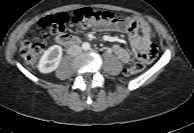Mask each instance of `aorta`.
<instances>
[{
	"label": "aorta",
	"mask_w": 194,
	"mask_h": 133,
	"mask_svg": "<svg viewBox=\"0 0 194 133\" xmlns=\"http://www.w3.org/2000/svg\"><path fill=\"white\" fill-rule=\"evenodd\" d=\"M82 47L84 50H88V49H90V44L85 42V43H83Z\"/></svg>",
	"instance_id": "aorta-1"
}]
</instances>
